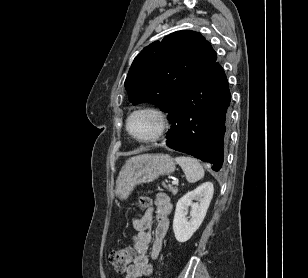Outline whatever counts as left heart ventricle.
I'll return each instance as SVG.
<instances>
[{"label": "left heart ventricle", "mask_w": 308, "mask_h": 278, "mask_svg": "<svg viewBox=\"0 0 308 278\" xmlns=\"http://www.w3.org/2000/svg\"><path fill=\"white\" fill-rule=\"evenodd\" d=\"M159 127V121L155 115L148 112L136 114L130 122L131 131L139 138L153 136Z\"/></svg>", "instance_id": "b2bd125f"}]
</instances>
